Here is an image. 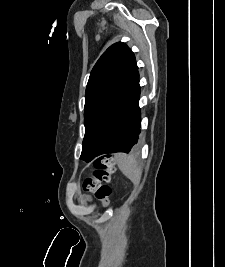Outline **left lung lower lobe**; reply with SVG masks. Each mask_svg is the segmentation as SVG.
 Wrapping results in <instances>:
<instances>
[{"label":"left lung lower lobe","instance_id":"0a47b994","mask_svg":"<svg viewBox=\"0 0 225 267\" xmlns=\"http://www.w3.org/2000/svg\"><path fill=\"white\" fill-rule=\"evenodd\" d=\"M139 97L140 85L137 69L122 98L112 130L98 156L115 152L129 153L136 147L141 133Z\"/></svg>","mask_w":225,"mask_h":267}]
</instances>
